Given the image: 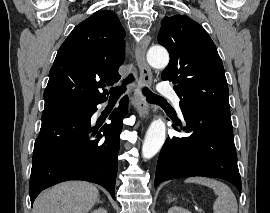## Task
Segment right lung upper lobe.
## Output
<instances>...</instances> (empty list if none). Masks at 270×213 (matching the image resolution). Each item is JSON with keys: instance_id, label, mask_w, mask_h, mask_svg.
<instances>
[{"instance_id": "cb5924a9", "label": "right lung upper lobe", "mask_w": 270, "mask_h": 213, "mask_svg": "<svg viewBox=\"0 0 270 213\" xmlns=\"http://www.w3.org/2000/svg\"><path fill=\"white\" fill-rule=\"evenodd\" d=\"M125 31L117 15L100 10L77 25L57 52L44 91L45 107L106 98L105 83L119 81Z\"/></svg>"}]
</instances>
